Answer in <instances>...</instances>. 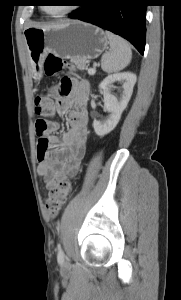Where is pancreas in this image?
Returning <instances> with one entry per match:
<instances>
[{"label": "pancreas", "mask_w": 181, "mask_h": 300, "mask_svg": "<svg viewBox=\"0 0 181 300\" xmlns=\"http://www.w3.org/2000/svg\"><path fill=\"white\" fill-rule=\"evenodd\" d=\"M72 62L76 65V67L80 70L85 69V63L80 60H72Z\"/></svg>", "instance_id": "cf45deb5"}]
</instances>
